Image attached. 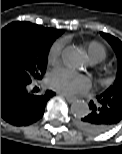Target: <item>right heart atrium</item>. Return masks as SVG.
Segmentation results:
<instances>
[{
    "instance_id": "1",
    "label": "right heart atrium",
    "mask_w": 122,
    "mask_h": 154,
    "mask_svg": "<svg viewBox=\"0 0 122 154\" xmlns=\"http://www.w3.org/2000/svg\"><path fill=\"white\" fill-rule=\"evenodd\" d=\"M64 48L62 41H56L50 48L48 53V62L51 65H58L61 61V56Z\"/></svg>"
}]
</instances>
